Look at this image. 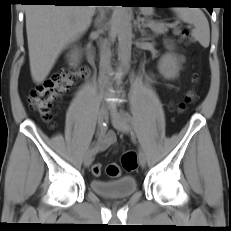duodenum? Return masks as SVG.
I'll list each match as a JSON object with an SVG mask.
<instances>
[{
	"label": "duodenum",
	"instance_id": "410a0bca",
	"mask_svg": "<svg viewBox=\"0 0 231 231\" xmlns=\"http://www.w3.org/2000/svg\"><path fill=\"white\" fill-rule=\"evenodd\" d=\"M86 54L89 62L93 63L95 61V54L93 48L89 45L86 47Z\"/></svg>",
	"mask_w": 231,
	"mask_h": 231
}]
</instances>
